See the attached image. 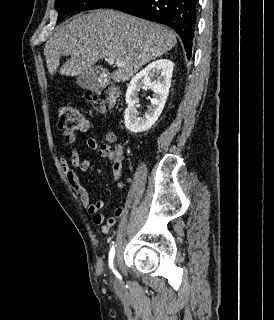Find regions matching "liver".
Segmentation results:
<instances>
[{
  "instance_id": "1",
  "label": "liver",
  "mask_w": 274,
  "mask_h": 320,
  "mask_svg": "<svg viewBox=\"0 0 274 320\" xmlns=\"http://www.w3.org/2000/svg\"><path fill=\"white\" fill-rule=\"evenodd\" d=\"M176 44V34L162 24L116 10H93L60 24L43 52L51 76L56 74L62 56H70L60 70L62 76H80L84 70H92L100 58H114L123 64L107 78L120 84Z\"/></svg>"
}]
</instances>
